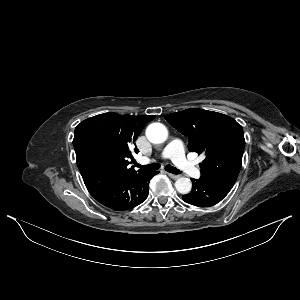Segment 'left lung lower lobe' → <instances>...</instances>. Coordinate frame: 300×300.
I'll use <instances>...</instances> for the list:
<instances>
[{
	"instance_id": "1",
	"label": "left lung lower lobe",
	"mask_w": 300,
	"mask_h": 300,
	"mask_svg": "<svg viewBox=\"0 0 300 300\" xmlns=\"http://www.w3.org/2000/svg\"><path fill=\"white\" fill-rule=\"evenodd\" d=\"M192 191L183 195L182 199L188 204L198 207H210L220 202L229 193L231 189L209 182L201 178L191 179Z\"/></svg>"
}]
</instances>
